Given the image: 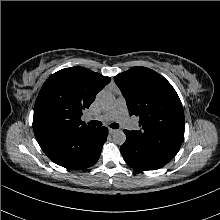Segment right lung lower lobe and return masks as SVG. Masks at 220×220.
Returning a JSON list of instances; mask_svg holds the SVG:
<instances>
[{"label":"right lung lower lobe","instance_id":"right-lung-lower-lobe-1","mask_svg":"<svg viewBox=\"0 0 220 220\" xmlns=\"http://www.w3.org/2000/svg\"><path fill=\"white\" fill-rule=\"evenodd\" d=\"M107 135L108 129L106 127H98L89 134L71 140L65 150H42L60 166L73 170L85 169L97 162Z\"/></svg>","mask_w":220,"mask_h":220}]
</instances>
